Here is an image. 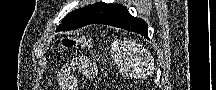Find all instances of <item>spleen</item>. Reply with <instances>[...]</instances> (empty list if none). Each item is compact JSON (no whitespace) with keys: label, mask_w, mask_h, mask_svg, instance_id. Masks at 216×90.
Here are the masks:
<instances>
[{"label":"spleen","mask_w":216,"mask_h":90,"mask_svg":"<svg viewBox=\"0 0 216 90\" xmlns=\"http://www.w3.org/2000/svg\"><path fill=\"white\" fill-rule=\"evenodd\" d=\"M120 48L121 54H123L126 62V68L128 72H136L143 76L148 68V62H150V54L141 46V44H136V42H115Z\"/></svg>","instance_id":"obj_1"}]
</instances>
